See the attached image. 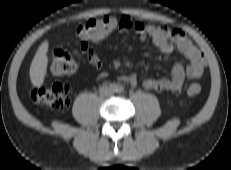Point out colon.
<instances>
[{"label": "colon", "mask_w": 231, "mask_h": 170, "mask_svg": "<svg viewBox=\"0 0 231 170\" xmlns=\"http://www.w3.org/2000/svg\"><path fill=\"white\" fill-rule=\"evenodd\" d=\"M119 26V19L113 16L90 19L77 29V37L82 41H97L110 35ZM77 68V62L63 47H57L53 51L50 70L54 75L63 76L73 73ZM201 85L192 82L187 87L189 96L198 95L201 92ZM70 88L64 83H55L48 87L32 89L31 99L40 105L62 110L70 104Z\"/></svg>", "instance_id": "1"}]
</instances>
